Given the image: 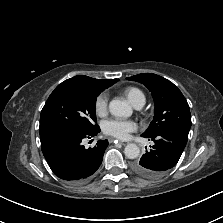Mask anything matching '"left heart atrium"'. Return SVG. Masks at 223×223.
Here are the masks:
<instances>
[{"label":"left heart atrium","instance_id":"left-heart-atrium-1","mask_svg":"<svg viewBox=\"0 0 223 223\" xmlns=\"http://www.w3.org/2000/svg\"><path fill=\"white\" fill-rule=\"evenodd\" d=\"M103 132L117 139H127L136 130L135 122L124 119H109L103 122Z\"/></svg>","mask_w":223,"mask_h":223}]
</instances>
